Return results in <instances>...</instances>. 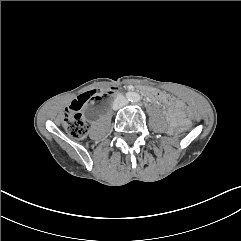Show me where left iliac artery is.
<instances>
[{
    "instance_id": "44dca946",
    "label": "left iliac artery",
    "mask_w": 241,
    "mask_h": 241,
    "mask_svg": "<svg viewBox=\"0 0 241 241\" xmlns=\"http://www.w3.org/2000/svg\"><path fill=\"white\" fill-rule=\"evenodd\" d=\"M138 100H139V97H138V96H135L134 102H138Z\"/></svg>"
}]
</instances>
